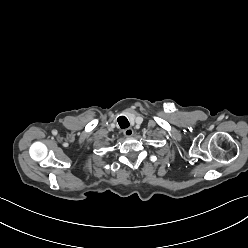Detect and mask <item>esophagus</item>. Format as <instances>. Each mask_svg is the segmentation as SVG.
<instances>
[{
	"mask_svg": "<svg viewBox=\"0 0 248 248\" xmlns=\"http://www.w3.org/2000/svg\"><path fill=\"white\" fill-rule=\"evenodd\" d=\"M123 133H124V135H125L126 137H131V136H133L134 131H133L132 128H127V129H125V130L123 131Z\"/></svg>",
	"mask_w": 248,
	"mask_h": 248,
	"instance_id": "34e87169",
	"label": "esophagus"
}]
</instances>
